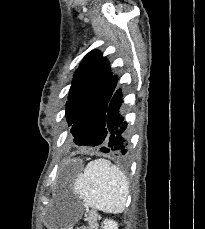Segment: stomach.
<instances>
[{
    "label": "stomach",
    "mask_w": 205,
    "mask_h": 229,
    "mask_svg": "<svg viewBox=\"0 0 205 229\" xmlns=\"http://www.w3.org/2000/svg\"><path fill=\"white\" fill-rule=\"evenodd\" d=\"M79 217L80 212L73 206L56 201L46 211L44 224L48 229H69L78 221Z\"/></svg>",
    "instance_id": "obj_1"
}]
</instances>
